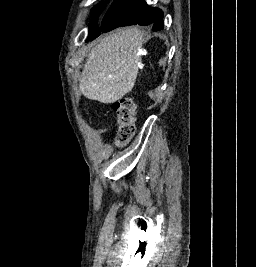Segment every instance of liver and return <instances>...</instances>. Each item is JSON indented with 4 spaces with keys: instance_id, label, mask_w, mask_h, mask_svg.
<instances>
[{
    "instance_id": "6515ba94",
    "label": "liver",
    "mask_w": 256,
    "mask_h": 267,
    "mask_svg": "<svg viewBox=\"0 0 256 267\" xmlns=\"http://www.w3.org/2000/svg\"><path fill=\"white\" fill-rule=\"evenodd\" d=\"M143 34L122 28L105 36L88 54L79 90L89 100L113 104L131 92L141 62Z\"/></svg>"
}]
</instances>
